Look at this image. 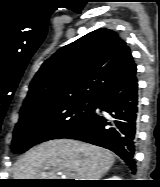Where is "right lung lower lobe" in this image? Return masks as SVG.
<instances>
[{
    "label": "right lung lower lobe",
    "mask_w": 160,
    "mask_h": 187,
    "mask_svg": "<svg viewBox=\"0 0 160 187\" xmlns=\"http://www.w3.org/2000/svg\"><path fill=\"white\" fill-rule=\"evenodd\" d=\"M135 63L95 98L94 112L64 138L104 147L120 156L135 173L138 84ZM100 112H96V109Z\"/></svg>",
    "instance_id": "98d812e1"
}]
</instances>
